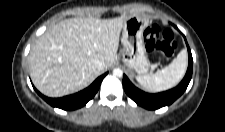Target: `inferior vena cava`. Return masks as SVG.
<instances>
[{"label":"inferior vena cava","instance_id":"1","mask_svg":"<svg viewBox=\"0 0 225 132\" xmlns=\"http://www.w3.org/2000/svg\"><path fill=\"white\" fill-rule=\"evenodd\" d=\"M89 68L92 72L101 74L104 71L105 64L103 61L95 59L90 63Z\"/></svg>","mask_w":225,"mask_h":132}]
</instances>
